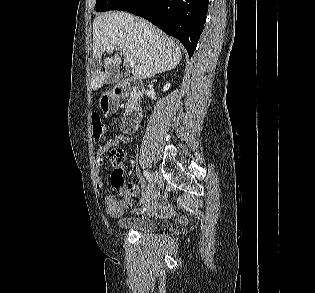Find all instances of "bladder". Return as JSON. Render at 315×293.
Wrapping results in <instances>:
<instances>
[{
    "instance_id": "1",
    "label": "bladder",
    "mask_w": 315,
    "mask_h": 293,
    "mask_svg": "<svg viewBox=\"0 0 315 293\" xmlns=\"http://www.w3.org/2000/svg\"><path fill=\"white\" fill-rule=\"evenodd\" d=\"M117 226L123 230L139 233L152 232L156 228L155 222L146 217L122 218L117 221Z\"/></svg>"
}]
</instances>
